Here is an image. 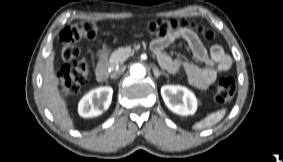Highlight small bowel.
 I'll return each mask as SVG.
<instances>
[{
	"label": "small bowel",
	"mask_w": 283,
	"mask_h": 162,
	"mask_svg": "<svg viewBox=\"0 0 283 162\" xmlns=\"http://www.w3.org/2000/svg\"><path fill=\"white\" fill-rule=\"evenodd\" d=\"M178 38L187 42L194 57L203 64L202 66L174 59L165 52V49ZM151 49L157 56L159 64L165 70L175 73L183 68L189 82L199 89H208L219 75L230 69L232 64L230 57L221 46L211 45L206 47L198 35L189 29L155 39L151 44Z\"/></svg>",
	"instance_id": "obj_1"
}]
</instances>
